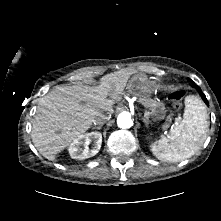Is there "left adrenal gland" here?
<instances>
[{"instance_id":"a2214340","label":"left adrenal gland","mask_w":221,"mask_h":221,"mask_svg":"<svg viewBox=\"0 0 221 221\" xmlns=\"http://www.w3.org/2000/svg\"><path fill=\"white\" fill-rule=\"evenodd\" d=\"M142 120H143V122L145 123V126H146V127H148V125L151 123V122L148 120V118H146V117H143Z\"/></svg>"}]
</instances>
